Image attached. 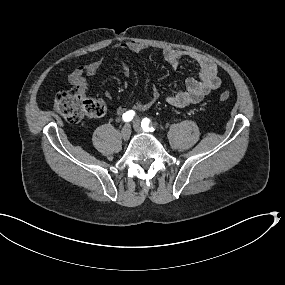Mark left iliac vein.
Returning <instances> with one entry per match:
<instances>
[{
	"instance_id": "4c4485c4",
	"label": "left iliac vein",
	"mask_w": 285,
	"mask_h": 285,
	"mask_svg": "<svg viewBox=\"0 0 285 285\" xmlns=\"http://www.w3.org/2000/svg\"><path fill=\"white\" fill-rule=\"evenodd\" d=\"M133 127L134 129L137 131V132H145L142 130V128L140 127V120L138 118H136L134 121H133Z\"/></svg>"
}]
</instances>
